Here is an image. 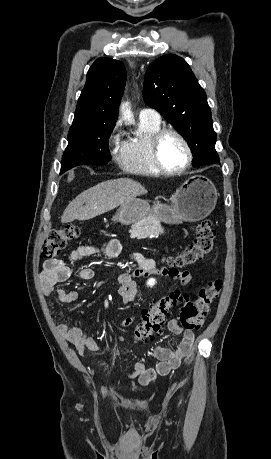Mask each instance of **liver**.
Masks as SVG:
<instances>
[{"instance_id":"liver-1","label":"liver","mask_w":271,"mask_h":459,"mask_svg":"<svg viewBox=\"0 0 271 459\" xmlns=\"http://www.w3.org/2000/svg\"><path fill=\"white\" fill-rule=\"evenodd\" d=\"M142 194H147V190L130 178L101 182V184L85 190L75 200H72L63 212L61 222L67 224V222H74V220H90V218H95L104 212L114 210L117 206L126 204L129 200H134L136 196H142ZM84 202L86 206H83Z\"/></svg>"}]
</instances>
